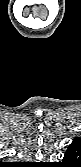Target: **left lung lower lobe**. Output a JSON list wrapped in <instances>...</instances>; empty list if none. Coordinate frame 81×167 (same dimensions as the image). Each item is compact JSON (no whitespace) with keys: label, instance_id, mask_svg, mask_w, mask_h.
I'll return each instance as SVG.
<instances>
[{"label":"left lung lower lobe","instance_id":"obj_1","mask_svg":"<svg viewBox=\"0 0 81 167\" xmlns=\"http://www.w3.org/2000/svg\"><path fill=\"white\" fill-rule=\"evenodd\" d=\"M80 160H81V141L79 139H75L69 145L64 155L63 164H71L72 167H74L76 165H79Z\"/></svg>","mask_w":81,"mask_h":167}]
</instances>
